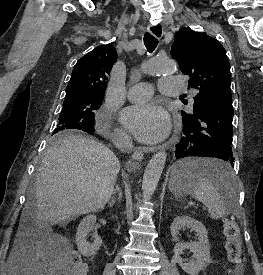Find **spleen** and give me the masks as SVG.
<instances>
[{
  "label": "spleen",
  "instance_id": "obj_1",
  "mask_svg": "<svg viewBox=\"0 0 263 275\" xmlns=\"http://www.w3.org/2000/svg\"><path fill=\"white\" fill-rule=\"evenodd\" d=\"M207 170H220L209 175ZM171 191L181 196L189 194L202 202L212 219H220L237 203V177L231 167L214 159L189 158L172 168Z\"/></svg>",
  "mask_w": 263,
  "mask_h": 275
}]
</instances>
